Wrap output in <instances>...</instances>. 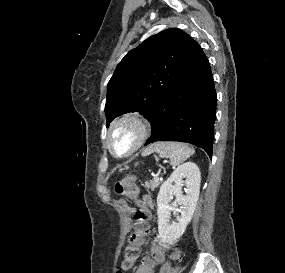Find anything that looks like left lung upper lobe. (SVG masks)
Returning a JSON list of instances; mask_svg holds the SVG:
<instances>
[{
	"label": "left lung upper lobe",
	"instance_id": "left-lung-upper-lobe-1",
	"mask_svg": "<svg viewBox=\"0 0 285 273\" xmlns=\"http://www.w3.org/2000/svg\"><path fill=\"white\" fill-rule=\"evenodd\" d=\"M192 41L182 30L172 28L131 50L108 83L107 126L124 113L138 111L147 118L181 72Z\"/></svg>",
	"mask_w": 285,
	"mask_h": 273
}]
</instances>
